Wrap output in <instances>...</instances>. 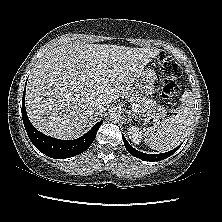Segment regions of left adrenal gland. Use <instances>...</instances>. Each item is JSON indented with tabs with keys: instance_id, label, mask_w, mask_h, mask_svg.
<instances>
[{
	"instance_id": "left-adrenal-gland-1",
	"label": "left adrenal gland",
	"mask_w": 222,
	"mask_h": 222,
	"mask_svg": "<svg viewBox=\"0 0 222 222\" xmlns=\"http://www.w3.org/2000/svg\"><path fill=\"white\" fill-rule=\"evenodd\" d=\"M127 113H128V121H130L131 118H134V117L136 119L135 113H133L131 110H127Z\"/></svg>"
}]
</instances>
